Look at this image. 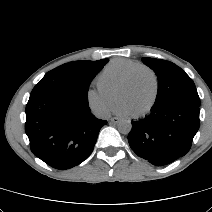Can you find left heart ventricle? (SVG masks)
<instances>
[{
	"label": "left heart ventricle",
	"mask_w": 212,
	"mask_h": 212,
	"mask_svg": "<svg viewBox=\"0 0 212 212\" xmlns=\"http://www.w3.org/2000/svg\"><path fill=\"white\" fill-rule=\"evenodd\" d=\"M153 80L147 72H140L133 83L120 96V101L126 104L133 113L144 109L153 95Z\"/></svg>",
	"instance_id": "left-heart-ventricle-1"
}]
</instances>
